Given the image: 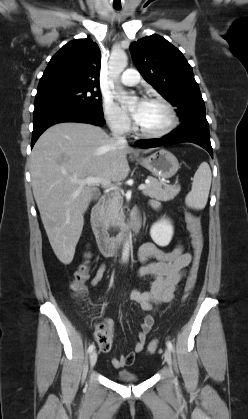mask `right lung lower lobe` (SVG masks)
<instances>
[{"label":"right lung lower lobe","instance_id":"1","mask_svg":"<svg viewBox=\"0 0 248 419\" xmlns=\"http://www.w3.org/2000/svg\"><path fill=\"white\" fill-rule=\"evenodd\" d=\"M61 122H82L97 126L105 124L103 115L76 104H51L36 107L33 112V133L31 147L50 126Z\"/></svg>","mask_w":248,"mask_h":419}]
</instances>
